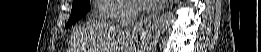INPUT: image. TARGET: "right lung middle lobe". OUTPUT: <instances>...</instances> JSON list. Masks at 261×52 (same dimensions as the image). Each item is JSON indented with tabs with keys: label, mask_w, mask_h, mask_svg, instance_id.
<instances>
[{
	"label": "right lung middle lobe",
	"mask_w": 261,
	"mask_h": 52,
	"mask_svg": "<svg viewBox=\"0 0 261 52\" xmlns=\"http://www.w3.org/2000/svg\"><path fill=\"white\" fill-rule=\"evenodd\" d=\"M90 9L89 0H75L73 1L71 16L66 24V28L82 18Z\"/></svg>",
	"instance_id": "1"
}]
</instances>
